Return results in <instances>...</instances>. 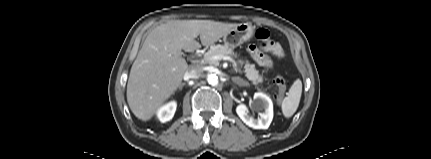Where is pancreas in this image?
<instances>
[{
  "mask_svg": "<svg viewBox=\"0 0 431 159\" xmlns=\"http://www.w3.org/2000/svg\"><path fill=\"white\" fill-rule=\"evenodd\" d=\"M214 55H224V56H232L235 55L233 48L229 47L227 45H214L210 48V50L204 55V60L206 63L209 64H216V62H213L209 60V57H212ZM244 73L248 80L252 82L254 85H258L263 82V77L259 74V71L255 69L254 64H250L248 61H246V64L244 66Z\"/></svg>",
  "mask_w": 431,
  "mask_h": 159,
  "instance_id": "pancreas-1",
  "label": "pancreas"
}]
</instances>
